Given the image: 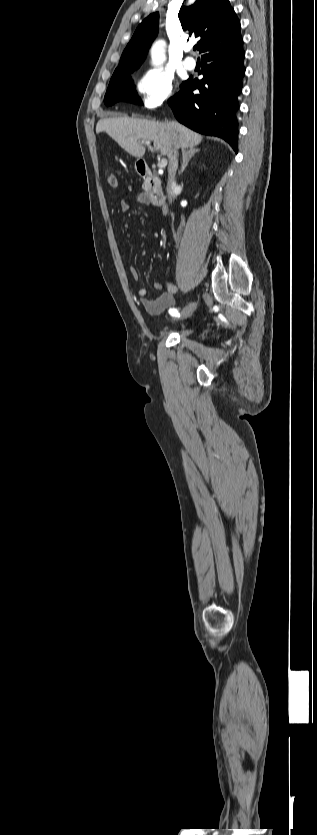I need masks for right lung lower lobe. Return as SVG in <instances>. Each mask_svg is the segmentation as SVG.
<instances>
[{"label": "right lung lower lobe", "instance_id": "right-lung-lower-lobe-1", "mask_svg": "<svg viewBox=\"0 0 317 835\" xmlns=\"http://www.w3.org/2000/svg\"><path fill=\"white\" fill-rule=\"evenodd\" d=\"M244 58L241 35L210 46L202 55L203 79L187 80L185 87L168 100L180 123L197 132L223 138L236 152L235 114L245 75ZM195 89L200 91L199 95L193 94Z\"/></svg>", "mask_w": 317, "mask_h": 835}]
</instances>
